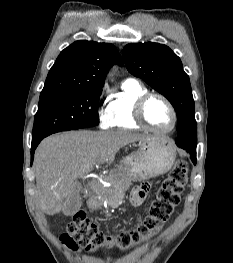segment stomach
Segmentation results:
<instances>
[{"label": "stomach", "mask_w": 233, "mask_h": 263, "mask_svg": "<svg viewBox=\"0 0 233 263\" xmlns=\"http://www.w3.org/2000/svg\"><path fill=\"white\" fill-rule=\"evenodd\" d=\"M176 150L165 137L150 136L137 145V150L124 159L119 172L124 176L123 190L131 181H143L168 172L174 164Z\"/></svg>", "instance_id": "0dacf381"}]
</instances>
